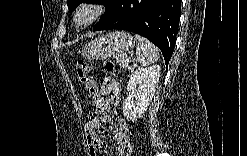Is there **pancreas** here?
<instances>
[{
  "label": "pancreas",
  "instance_id": "obj_1",
  "mask_svg": "<svg viewBox=\"0 0 247 156\" xmlns=\"http://www.w3.org/2000/svg\"><path fill=\"white\" fill-rule=\"evenodd\" d=\"M116 58H117V62L119 63V66L122 68H126L128 58L125 55L118 56Z\"/></svg>",
  "mask_w": 247,
  "mask_h": 156
}]
</instances>
